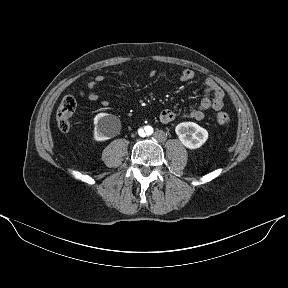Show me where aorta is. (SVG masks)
Wrapping results in <instances>:
<instances>
[{
	"label": "aorta",
	"instance_id": "aorta-1",
	"mask_svg": "<svg viewBox=\"0 0 288 288\" xmlns=\"http://www.w3.org/2000/svg\"><path fill=\"white\" fill-rule=\"evenodd\" d=\"M151 133H152V128L149 125L141 126L138 129V134L141 137H147V136L151 135Z\"/></svg>",
	"mask_w": 288,
	"mask_h": 288
}]
</instances>
